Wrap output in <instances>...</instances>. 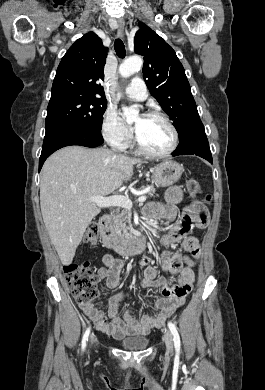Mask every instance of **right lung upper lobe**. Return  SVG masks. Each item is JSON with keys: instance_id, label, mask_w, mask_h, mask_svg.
<instances>
[{"instance_id": "cb5924a9", "label": "right lung upper lobe", "mask_w": 265, "mask_h": 390, "mask_svg": "<svg viewBox=\"0 0 265 390\" xmlns=\"http://www.w3.org/2000/svg\"><path fill=\"white\" fill-rule=\"evenodd\" d=\"M108 48L89 32L75 41L63 56L53 81L51 99L65 96H102L104 65Z\"/></svg>"}]
</instances>
